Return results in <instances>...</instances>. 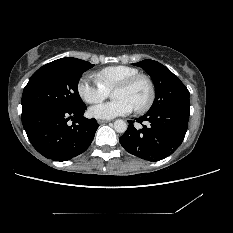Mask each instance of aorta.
<instances>
[{
	"label": "aorta",
	"mask_w": 233,
	"mask_h": 233,
	"mask_svg": "<svg viewBox=\"0 0 233 233\" xmlns=\"http://www.w3.org/2000/svg\"><path fill=\"white\" fill-rule=\"evenodd\" d=\"M114 129L118 133H124L127 130V123L121 119L114 122Z\"/></svg>",
	"instance_id": "762f6f07"
}]
</instances>
